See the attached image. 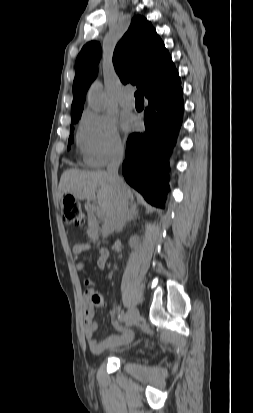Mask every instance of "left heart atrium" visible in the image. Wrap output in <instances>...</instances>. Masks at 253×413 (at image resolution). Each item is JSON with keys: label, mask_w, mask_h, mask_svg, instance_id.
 Instances as JSON below:
<instances>
[{"label": "left heart atrium", "mask_w": 253, "mask_h": 413, "mask_svg": "<svg viewBox=\"0 0 253 413\" xmlns=\"http://www.w3.org/2000/svg\"><path fill=\"white\" fill-rule=\"evenodd\" d=\"M135 125H136V122H135V120H134L133 118H131V117L125 118V120H124V127H125L126 129H132V128L135 127Z\"/></svg>", "instance_id": "39dd6f15"}]
</instances>
